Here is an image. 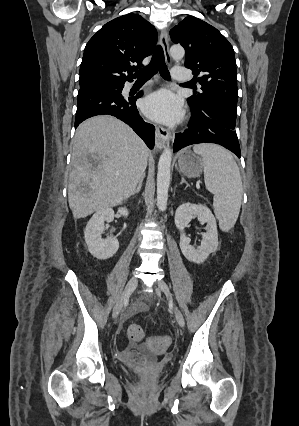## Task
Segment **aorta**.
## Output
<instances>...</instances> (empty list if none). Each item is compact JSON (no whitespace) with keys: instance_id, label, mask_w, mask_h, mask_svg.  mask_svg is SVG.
<instances>
[{"instance_id":"obj_1","label":"aorta","mask_w":299,"mask_h":426,"mask_svg":"<svg viewBox=\"0 0 299 426\" xmlns=\"http://www.w3.org/2000/svg\"><path fill=\"white\" fill-rule=\"evenodd\" d=\"M184 55L185 50L182 46L173 45L170 48V56L175 61H180ZM171 161L172 151L169 147H166L159 158L157 172V206L160 211H165L167 208Z\"/></svg>"}]
</instances>
